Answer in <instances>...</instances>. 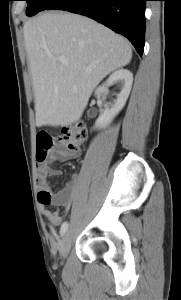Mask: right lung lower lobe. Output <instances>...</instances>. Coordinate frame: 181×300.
<instances>
[{"mask_svg": "<svg viewBox=\"0 0 181 300\" xmlns=\"http://www.w3.org/2000/svg\"><path fill=\"white\" fill-rule=\"evenodd\" d=\"M145 2L146 0H57L49 9L70 11L104 24L128 38L142 56L145 43Z\"/></svg>", "mask_w": 181, "mask_h": 300, "instance_id": "right-lung-lower-lobe-1", "label": "right lung lower lobe"}]
</instances>
